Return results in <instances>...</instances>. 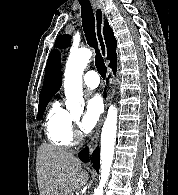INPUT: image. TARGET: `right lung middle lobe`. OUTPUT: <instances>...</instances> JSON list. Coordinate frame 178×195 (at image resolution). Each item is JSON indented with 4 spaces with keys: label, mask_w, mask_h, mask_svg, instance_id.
Segmentation results:
<instances>
[{
    "label": "right lung middle lobe",
    "mask_w": 178,
    "mask_h": 195,
    "mask_svg": "<svg viewBox=\"0 0 178 195\" xmlns=\"http://www.w3.org/2000/svg\"><path fill=\"white\" fill-rule=\"evenodd\" d=\"M47 104L48 103H44L38 106V118L39 119H42Z\"/></svg>",
    "instance_id": "right-lung-middle-lobe-1"
}]
</instances>
